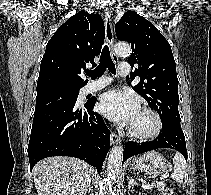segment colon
<instances>
[{"label": "colon", "mask_w": 211, "mask_h": 195, "mask_svg": "<svg viewBox=\"0 0 211 195\" xmlns=\"http://www.w3.org/2000/svg\"><path fill=\"white\" fill-rule=\"evenodd\" d=\"M164 195H172V191L171 189H167L165 190V194Z\"/></svg>", "instance_id": "5ec220e1"}]
</instances>
